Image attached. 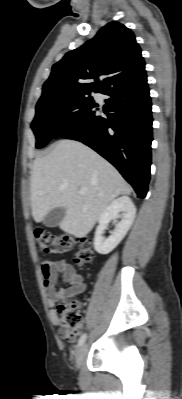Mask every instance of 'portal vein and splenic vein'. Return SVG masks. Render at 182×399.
I'll return each mask as SVG.
<instances>
[{
  "label": "portal vein and splenic vein",
  "mask_w": 182,
  "mask_h": 399,
  "mask_svg": "<svg viewBox=\"0 0 182 399\" xmlns=\"http://www.w3.org/2000/svg\"><path fill=\"white\" fill-rule=\"evenodd\" d=\"M79 193L82 194V195L85 194L86 193V189L85 188H80L79 189Z\"/></svg>",
  "instance_id": "portal-vein-and-splenic-vein-1"
}]
</instances>
